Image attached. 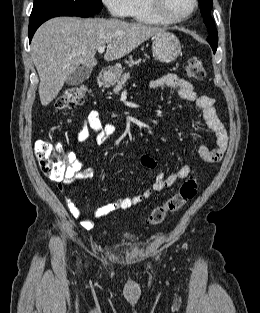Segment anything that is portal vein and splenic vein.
<instances>
[{
  "label": "portal vein and splenic vein",
  "instance_id": "obj_1",
  "mask_svg": "<svg viewBox=\"0 0 260 313\" xmlns=\"http://www.w3.org/2000/svg\"><path fill=\"white\" fill-rule=\"evenodd\" d=\"M105 49H106V46H100V47H98V52L103 53L105 51Z\"/></svg>",
  "mask_w": 260,
  "mask_h": 313
}]
</instances>
